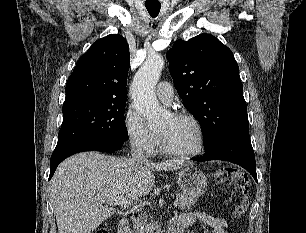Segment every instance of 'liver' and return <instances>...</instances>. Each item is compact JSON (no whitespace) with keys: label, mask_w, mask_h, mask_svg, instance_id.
<instances>
[{"label":"liver","mask_w":306,"mask_h":233,"mask_svg":"<svg viewBox=\"0 0 306 233\" xmlns=\"http://www.w3.org/2000/svg\"><path fill=\"white\" fill-rule=\"evenodd\" d=\"M183 166L177 159L154 164L96 152L71 156L58 166L50 182L58 232L91 233L115 213L102 200L122 195L133 201L146 196L155 183L154 171Z\"/></svg>","instance_id":"1"}]
</instances>
